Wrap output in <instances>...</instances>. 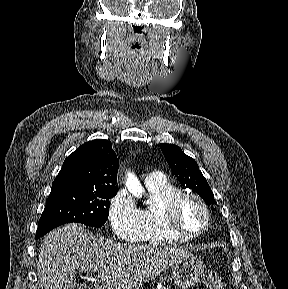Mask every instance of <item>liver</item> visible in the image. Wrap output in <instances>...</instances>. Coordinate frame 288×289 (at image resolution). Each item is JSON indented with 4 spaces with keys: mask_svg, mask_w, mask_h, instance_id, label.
<instances>
[{
    "mask_svg": "<svg viewBox=\"0 0 288 289\" xmlns=\"http://www.w3.org/2000/svg\"><path fill=\"white\" fill-rule=\"evenodd\" d=\"M191 255L177 247L126 245L88 236L84 225L72 223L45 236L39 248L37 276L41 289H75V270L83 268L98 273L104 289H140Z\"/></svg>",
    "mask_w": 288,
    "mask_h": 289,
    "instance_id": "1",
    "label": "liver"
}]
</instances>
